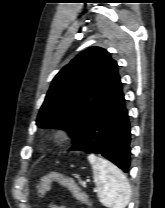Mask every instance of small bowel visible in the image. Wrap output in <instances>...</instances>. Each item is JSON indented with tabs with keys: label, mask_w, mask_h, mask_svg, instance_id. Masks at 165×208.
<instances>
[{
	"label": "small bowel",
	"mask_w": 165,
	"mask_h": 208,
	"mask_svg": "<svg viewBox=\"0 0 165 208\" xmlns=\"http://www.w3.org/2000/svg\"><path fill=\"white\" fill-rule=\"evenodd\" d=\"M53 208H65V207H61V206H55V207H53Z\"/></svg>",
	"instance_id": "obj_1"
}]
</instances>
